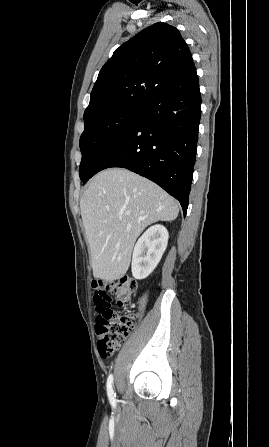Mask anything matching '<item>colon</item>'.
Here are the masks:
<instances>
[{
	"label": "colon",
	"mask_w": 269,
	"mask_h": 447,
	"mask_svg": "<svg viewBox=\"0 0 269 447\" xmlns=\"http://www.w3.org/2000/svg\"><path fill=\"white\" fill-rule=\"evenodd\" d=\"M107 289L112 298L106 297L103 292H94L92 302L97 310L94 329L97 334V349L101 357H109L132 334L137 324V317L130 311L133 294L137 288L136 280L124 275L113 281L103 282L93 280L91 289L97 291ZM114 301L119 308L116 313L111 302Z\"/></svg>",
	"instance_id": "1"
}]
</instances>
